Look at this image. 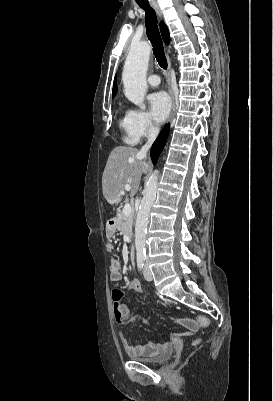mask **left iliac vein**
I'll use <instances>...</instances> for the list:
<instances>
[{
	"label": "left iliac vein",
	"instance_id": "4c4485c4",
	"mask_svg": "<svg viewBox=\"0 0 273 401\" xmlns=\"http://www.w3.org/2000/svg\"><path fill=\"white\" fill-rule=\"evenodd\" d=\"M144 277L147 281H151L153 279V276L147 264L144 267Z\"/></svg>",
	"mask_w": 273,
	"mask_h": 401
}]
</instances>
